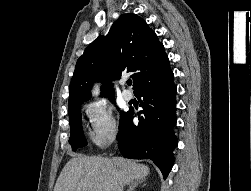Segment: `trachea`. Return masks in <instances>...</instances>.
<instances>
[{"mask_svg":"<svg viewBox=\"0 0 251 191\" xmlns=\"http://www.w3.org/2000/svg\"><path fill=\"white\" fill-rule=\"evenodd\" d=\"M131 84H132V81L131 80H127V85L131 86Z\"/></svg>","mask_w":251,"mask_h":191,"instance_id":"3493384b","label":"trachea"}]
</instances>
